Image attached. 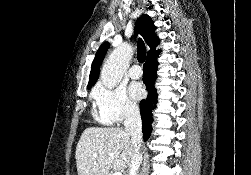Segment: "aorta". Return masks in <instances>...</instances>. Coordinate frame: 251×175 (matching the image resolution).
<instances>
[{
	"instance_id": "aorta-1",
	"label": "aorta",
	"mask_w": 251,
	"mask_h": 175,
	"mask_svg": "<svg viewBox=\"0 0 251 175\" xmlns=\"http://www.w3.org/2000/svg\"><path fill=\"white\" fill-rule=\"evenodd\" d=\"M133 48L130 44H120L108 60H106L100 74V80L105 88L113 89L121 82L132 60Z\"/></svg>"
}]
</instances>
